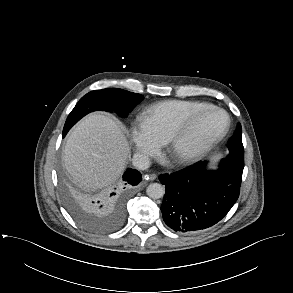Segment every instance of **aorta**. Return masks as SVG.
<instances>
[{
	"label": "aorta",
	"mask_w": 293,
	"mask_h": 293,
	"mask_svg": "<svg viewBox=\"0 0 293 293\" xmlns=\"http://www.w3.org/2000/svg\"><path fill=\"white\" fill-rule=\"evenodd\" d=\"M147 195L152 199H159L163 197L165 193L164 187L159 183H151L146 189Z\"/></svg>",
	"instance_id": "1"
}]
</instances>
